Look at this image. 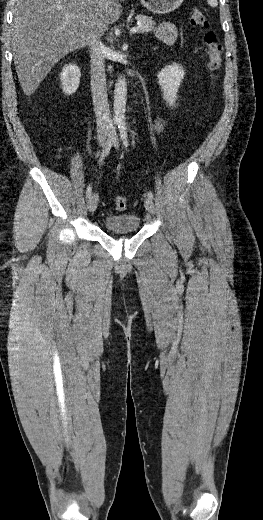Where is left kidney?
I'll return each mask as SVG.
<instances>
[{
    "instance_id": "left-kidney-1",
    "label": "left kidney",
    "mask_w": 263,
    "mask_h": 520,
    "mask_svg": "<svg viewBox=\"0 0 263 520\" xmlns=\"http://www.w3.org/2000/svg\"><path fill=\"white\" fill-rule=\"evenodd\" d=\"M184 70L176 63L162 69L158 74V83L163 91V99L169 106H174L179 86L184 78Z\"/></svg>"
}]
</instances>
